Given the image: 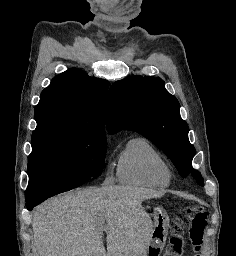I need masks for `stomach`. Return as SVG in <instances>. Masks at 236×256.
<instances>
[{"label":"stomach","instance_id":"0dacf381","mask_svg":"<svg viewBox=\"0 0 236 256\" xmlns=\"http://www.w3.org/2000/svg\"><path fill=\"white\" fill-rule=\"evenodd\" d=\"M169 217L165 210L161 208L154 209V229L151 239L144 256H159L165 246L168 234Z\"/></svg>","mask_w":236,"mask_h":256}]
</instances>
